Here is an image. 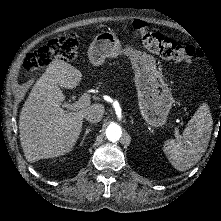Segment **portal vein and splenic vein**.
Here are the masks:
<instances>
[{
	"label": "portal vein and splenic vein",
	"mask_w": 221,
	"mask_h": 221,
	"mask_svg": "<svg viewBox=\"0 0 221 221\" xmlns=\"http://www.w3.org/2000/svg\"><path fill=\"white\" fill-rule=\"evenodd\" d=\"M90 105V97L87 94H83L78 101L69 104V103H64L62 107L67 108L68 110L71 111H76L82 108H86ZM175 137H179V130L178 128H175Z\"/></svg>",
	"instance_id": "1"
}]
</instances>
